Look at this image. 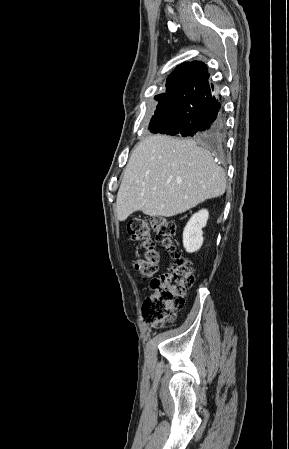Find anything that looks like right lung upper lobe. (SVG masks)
Returning a JSON list of instances; mask_svg holds the SVG:
<instances>
[{
  "mask_svg": "<svg viewBox=\"0 0 289 449\" xmlns=\"http://www.w3.org/2000/svg\"><path fill=\"white\" fill-rule=\"evenodd\" d=\"M193 79L202 80L208 79L209 73L206 68V65L203 62L192 61V62H184L181 65L177 66L176 69L170 74L167 78L166 82V93L168 94V90L176 80L179 79Z\"/></svg>",
  "mask_w": 289,
  "mask_h": 449,
  "instance_id": "cb5924a9",
  "label": "right lung upper lobe"
}]
</instances>
